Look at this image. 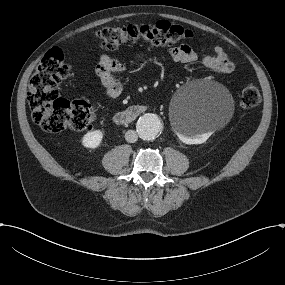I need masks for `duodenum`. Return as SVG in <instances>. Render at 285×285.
Here are the masks:
<instances>
[{"mask_svg":"<svg viewBox=\"0 0 285 285\" xmlns=\"http://www.w3.org/2000/svg\"><path fill=\"white\" fill-rule=\"evenodd\" d=\"M146 105L135 104L114 115V121L120 126H125L135 121L144 111Z\"/></svg>","mask_w":285,"mask_h":285,"instance_id":"410a0bca","label":"duodenum"}]
</instances>
